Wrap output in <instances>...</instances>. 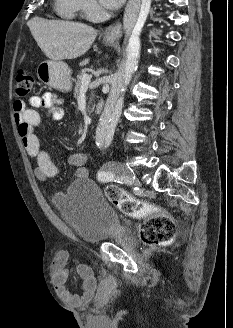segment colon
<instances>
[{
  "label": "colon",
  "instance_id": "1",
  "mask_svg": "<svg viewBox=\"0 0 233 328\" xmlns=\"http://www.w3.org/2000/svg\"><path fill=\"white\" fill-rule=\"evenodd\" d=\"M34 77L26 70H19L15 76V92L19 97L31 93ZM108 200L123 214L144 218L146 222L141 229V238L147 244L162 245L169 243L176 235L175 220L167 213L161 212L156 206L137 199L122 188L111 185L105 190Z\"/></svg>",
  "mask_w": 233,
  "mask_h": 328
}]
</instances>
